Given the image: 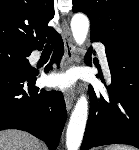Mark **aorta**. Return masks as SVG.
I'll use <instances>...</instances> for the list:
<instances>
[{
    "mask_svg": "<svg viewBox=\"0 0 139 150\" xmlns=\"http://www.w3.org/2000/svg\"><path fill=\"white\" fill-rule=\"evenodd\" d=\"M89 19L85 14L77 13L71 20V31L78 45H82L89 31ZM88 118V100L82 95L71 114L66 133L67 150H79Z\"/></svg>",
    "mask_w": 139,
    "mask_h": 150,
    "instance_id": "aorta-1",
    "label": "aorta"
}]
</instances>
